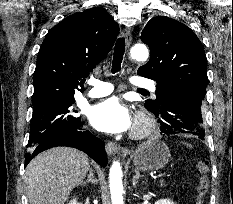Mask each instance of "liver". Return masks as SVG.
I'll use <instances>...</instances> for the list:
<instances>
[{"label":"liver","instance_id":"6515ba94","mask_svg":"<svg viewBox=\"0 0 233 204\" xmlns=\"http://www.w3.org/2000/svg\"><path fill=\"white\" fill-rule=\"evenodd\" d=\"M81 151L55 147L37 155L26 167V195L30 204H64L89 170Z\"/></svg>","mask_w":233,"mask_h":204}]
</instances>
